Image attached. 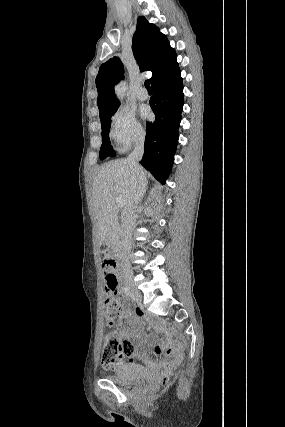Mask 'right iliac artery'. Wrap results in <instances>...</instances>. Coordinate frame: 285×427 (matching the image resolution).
Returning a JSON list of instances; mask_svg holds the SVG:
<instances>
[{"label": "right iliac artery", "instance_id": "1", "mask_svg": "<svg viewBox=\"0 0 285 427\" xmlns=\"http://www.w3.org/2000/svg\"><path fill=\"white\" fill-rule=\"evenodd\" d=\"M123 292H124L125 296H127V297L131 296V293L127 287H123Z\"/></svg>", "mask_w": 285, "mask_h": 427}]
</instances>
